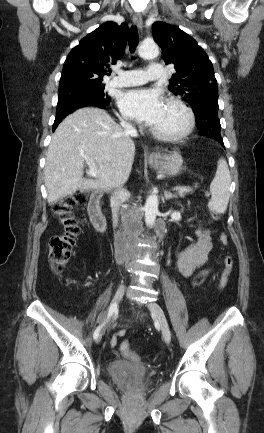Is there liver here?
I'll use <instances>...</instances> for the list:
<instances>
[{"label":"liver","mask_w":264,"mask_h":433,"mask_svg":"<svg viewBox=\"0 0 264 433\" xmlns=\"http://www.w3.org/2000/svg\"><path fill=\"white\" fill-rule=\"evenodd\" d=\"M86 155L95 165L96 179L84 178ZM135 144L130 135L102 109L82 108L57 127L44 169L47 200L54 204L77 190L115 188L131 173Z\"/></svg>","instance_id":"obj_1"}]
</instances>
